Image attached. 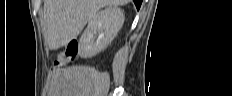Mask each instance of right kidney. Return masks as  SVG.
Segmentation results:
<instances>
[{
	"instance_id": "1",
	"label": "right kidney",
	"mask_w": 232,
	"mask_h": 96,
	"mask_svg": "<svg viewBox=\"0 0 232 96\" xmlns=\"http://www.w3.org/2000/svg\"><path fill=\"white\" fill-rule=\"evenodd\" d=\"M124 20L123 11L117 6H109L94 14L80 38L79 55L90 58L105 49L116 37Z\"/></svg>"
}]
</instances>
